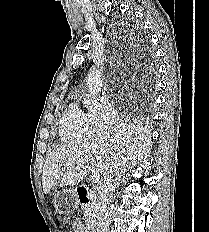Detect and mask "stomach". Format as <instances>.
Returning a JSON list of instances; mask_svg holds the SVG:
<instances>
[{
	"mask_svg": "<svg viewBox=\"0 0 209 232\" xmlns=\"http://www.w3.org/2000/svg\"><path fill=\"white\" fill-rule=\"evenodd\" d=\"M53 202L56 203L55 210L58 214H66L67 221H76V216L71 214L77 213L75 206H79L78 191H59Z\"/></svg>",
	"mask_w": 209,
	"mask_h": 232,
	"instance_id": "stomach-1",
	"label": "stomach"
}]
</instances>
